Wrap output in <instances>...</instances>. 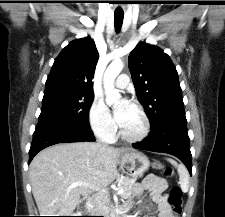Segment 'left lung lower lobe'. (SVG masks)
Returning a JSON list of instances; mask_svg holds the SVG:
<instances>
[{"label": "left lung lower lobe", "instance_id": "1", "mask_svg": "<svg viewBox=\"0 0 225 217\" xmlns=\"http://www.w3.org/2000/svg\"><path fill=\"white\" fill-rule=\"evenodd\" d=\"M133 148L163 152L176 156L192 175V155L186 118H176L152 128L149 136Z\"/></svg>", "mask_w": 225, "mask_h": 217}]
</instances>
